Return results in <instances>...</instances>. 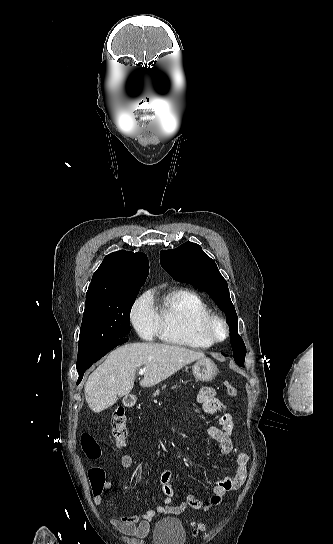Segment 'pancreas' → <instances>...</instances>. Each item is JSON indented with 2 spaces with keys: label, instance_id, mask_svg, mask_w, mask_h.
Segmentation results:
<instances>
[{
  "label": "pancreas",
  "instance_id": "1",
  "mask_svg": "<svg viewBox=\"0 0 333 544\" xmlns=\"http://www.w3.org/2000/svg\"><path fill=\"white\" fill-rule=\"evenodd\" d=\"M174 388H176V386H174L173 389H174ZM158 394H159V391H156V392L153 394V396L155 397V396L158 395Z\"/></svg>",
  "mask_w": 333,
  "mask_h": 544
}]
</instances>
